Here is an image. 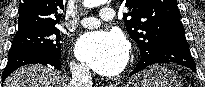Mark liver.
Here are the masks:
<instances>
[{"label":"liver","instance_id":"obj_1","mask_svg":"<svg viewBox=\"0 0 205 87\" xmlns=\"http://www.w3.org/2000/svg\"><path fill=\"white\" fill-rule=\"evenodd\" d=\"M3 87H70V82L51 66H24L13 72Z\"/></svg>","mask_w":205,"mask_h":87}]
</instances>
